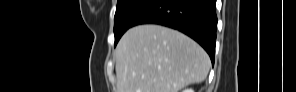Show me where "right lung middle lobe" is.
I'll use <instances>...</instances> for the list:
<instances>
[{"mask_svg": "<svg viewBox=\"0 0 296 92\" xmlns=\"http://www.w3.org/2000/svg\"><path fill=\"white\" fill-rule=\"evenodd\" d=\"M154 0H118L114 17L115 46L124 32L129 29L134 20Z\"/></svg>", "mask_w": 296, "mask_h": 92, "instance_id": "dd1d6c3e", "label": "right lung middle lobe"}]
</instances>
